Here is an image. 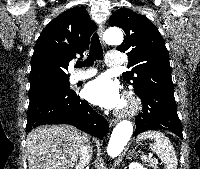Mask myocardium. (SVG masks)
<instances>
[{"label":"myocardium","mask_w":200,"mask_h":169,"mask_svg":"<svg viewBox=\"0 0 200 169\" xmlns=\"http://www.w3.org/2000/svg\"><path fill=\"white\" fill-rule=\"evenodd\" d=\"M139 110V99L131 92L125 93L122 107L118 109V115L120 117H131L134 116Z\"/></svg>","instance_id":"f54148a6"}]
</instances>
